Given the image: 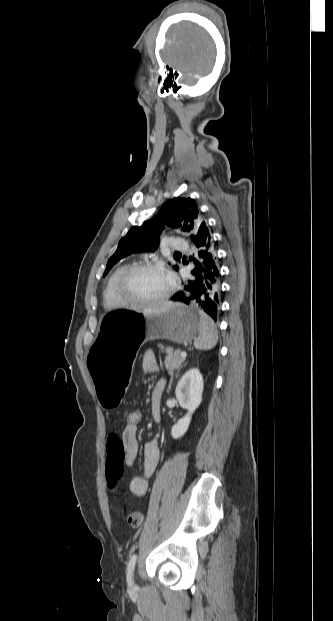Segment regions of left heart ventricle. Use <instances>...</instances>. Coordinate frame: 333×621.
Wrapping results in <instances>:
<instances>
[{
	"label": "left heart ventricle",
	"instance_id": "b2bd125f",
	"mask_svg": "<svg viewBox=\"0 0 333 621\" xmlns=\"http://www.w3.org/2000/svg\"><path fill=\"white\" fill-rule=\"evenodd\" d=\"M169 288L167 276L158 271H139L125 284V293L133 298L153 300L163 296Z\"/></svg>",
	"mask_w": 333,
	"mask_h": 621
}]
</instances>
